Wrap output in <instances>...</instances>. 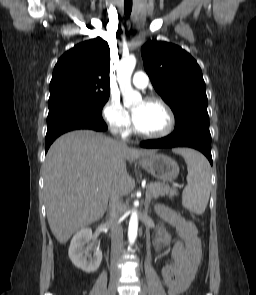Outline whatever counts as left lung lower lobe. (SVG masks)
Wrapping results in <instances>:
<instances>
[{"label":"left lung lower lobe","mask_w":256,"mask_h":295,"mask_svg":"<svg viewBox=\"0 0 256 295\" xmlns=\"http://www.w3.org/2000/svg\"><path fill=\"white\" fill-rule=\"evenodd\" d=\"M143 148L191 147L201 151L212 164L211 135L208 128L186 126L167 137L140 143Z\"/></svg>","instance_id":"1"}]
</instances>
